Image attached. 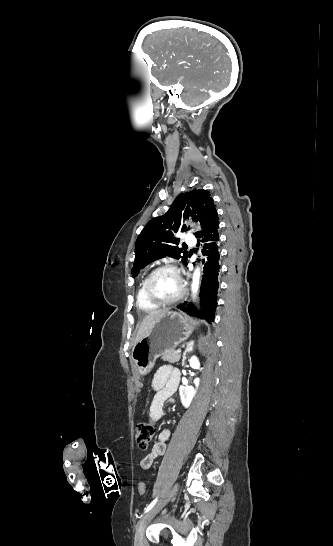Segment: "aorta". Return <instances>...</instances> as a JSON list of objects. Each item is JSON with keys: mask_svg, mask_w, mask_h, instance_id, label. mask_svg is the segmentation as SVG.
<instances>
[{"mask_svg": "<svg viewBox=\"0 0 333 546\" xmlns=\"http://www.w3.org/2000/svg\"><path fill=\"white\" fill-rule=\"evenodd\" d=\"M199 279H200V270L197 268L195 271H194V274H193V281H192V293H193V296L195 297L197 291H198V288H199Z\"/></svg>", "mask_w": 333, "mask_h": 546, "instance_id": "1", "label": "aorta"}]
</instances>
